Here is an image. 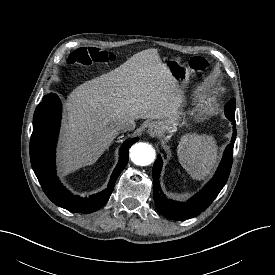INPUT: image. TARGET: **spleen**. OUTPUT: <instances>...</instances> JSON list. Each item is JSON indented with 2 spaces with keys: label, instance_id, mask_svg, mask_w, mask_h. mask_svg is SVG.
<instances>
[{
  "label": "spleen",
  "instance_id": "3e777b00",
  "mask_svg": "<svg viewBox=\"0 0 275 275\" xmlns=\"http://www.w3.org/2000/svg\"><path fill=\"white\" fill-rule=\"evenodd\" d=\"M216 141L207 135H186L178 146V158L182 167L196 180L211 174L217 163Z\"/></svg>",
  "mask_w": 275,
  "mask_h": 275
}]
</instances>
